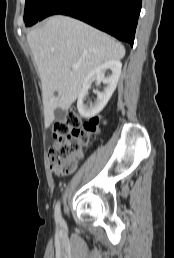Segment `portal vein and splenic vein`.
<instances>
[{
    "label": "portal vein and splenic vein",
    "instance_id": "1",
    "mask_svg": "<svg viewBox=\"0 0 174 258\" xmlns=\"http://www.w3.org/2000/svg\"><path fill=\"white\" fill-rule=\"evenodd\" d=\"M78 67H79V65L72 66L73 69H77Z\"/></svg>",
    "mask_w": 174,
    "mask_h": 258
}]
</instances>
